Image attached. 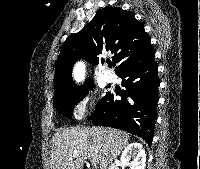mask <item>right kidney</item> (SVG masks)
Masks as SVG:
<instances>
[{
  "instance_id": "obj_1",
  "label": "right kidney",
  "mask_w": 200,
  "mask_h": 169,
  "mask_svg": "<svg viewBox=\"0 0 200 169\" xmlns=\"http://www.w3.org/2000/svg\"><path fill=\"white\" fill-rule=\"evenodd\" d=\"M120 162L122 165L129 166L130 169H145L146 153L142 144L137 142L129 144L124 149Z\"/></svg>"
}]
</instances>
